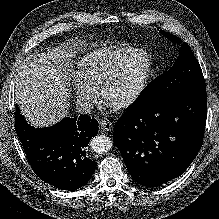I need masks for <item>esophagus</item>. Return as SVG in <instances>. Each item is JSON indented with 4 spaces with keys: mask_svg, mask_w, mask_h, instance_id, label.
<instances>
[{
    "mask_svg": "<svg viewBox=\"0 0 219 219\" xmlns=\"http://www.w3.org/2000/svg\"><path fill=\"white\" fill-rule=\"evenodd\" d=\"M100 128L102 131H111L113 129V123L109 120H100Z\"/></svg>",
    "mask_w": 219,
    "mask_h": 219,
    "instance_id": "1",
    "label": "esophagus"
}]
</instances>
